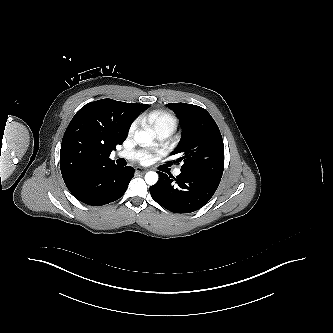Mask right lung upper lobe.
Here are the masks:
<instances>
[{"label": "right lung upper lobe", "mask_w": 333, "mask_h": 333, "mask_svg": "<svg viewBox=\"0 0 333 333\" xmlns=\"http://www.w3.org/2000/svg\"><path fill=\"white\" fill-rule=\"evenodd\" d=\"M147 104L102 99L83 106L68 125L60 149V168L68 189L86 174L114 165L109 157L122 144Z\"/></svg>", "instance_id": "cb5924a9"}]
</instances>
